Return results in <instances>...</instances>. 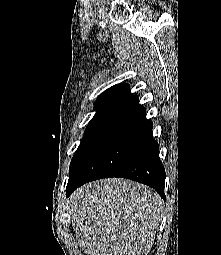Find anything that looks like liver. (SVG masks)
Instances as JSON below:
<instances>
[{"mask_svg": "<svg viewBox=\"0 0 221 255\" xmlns=\"http://www.w3.org/2000/svg\"><path fill=\"white\" fill-rule=\"evenodd\" d=\"M69 214L78 244L88 255H148L163 202L145 185L108 178L74 192Z\"/></svg>", "mask_w": 221, "mask_h": 255, "instance_id": "liver-1", "label": "liver"}]
</instances>
